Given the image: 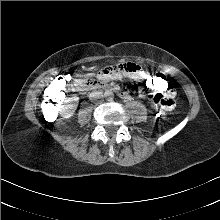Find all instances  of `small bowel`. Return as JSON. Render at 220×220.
Masks as SVG:
<instances>
[{
  "label": "small bowel",
  "mask_w": 220,
  "mask_h": 220,
  "mask_svg": "<svg viewBox=\"0 0 220 220\" xmlns=\"http://www.w3.org/2000/svg\"><path fill=\"white\" fill-rule=\"evenodd\" d=\"M147 74L148 73L141 70L139 68V66L136 65V63L134 61L129 60L127 62L112 65L109 68L105 67V68L100 69L98 72L99 76L92 77L90 80V83L92 86L97 87V86L104 85L105 83L109 82L110 80H114V79L122 80L124 78L129 77L136 82L142 83L143 86L145 87L144 79ZM149 91H151V90H149ZM155 94L156 93H153V95H155ZM162 95L174 97L175 91L169 85L168 90L165 93H162ZM141 97L143 99H147L148 95H147V93H142Z\"/></svg>",
  "instance_id": "1"
}]
</instances>
